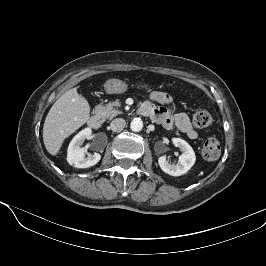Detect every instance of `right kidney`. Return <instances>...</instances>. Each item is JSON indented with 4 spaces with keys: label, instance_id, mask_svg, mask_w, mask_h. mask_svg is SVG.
<instances>
[{
    "label": "right kidney",
    "instance_id": "obj_1",
    "mask_svg": "<svg viewBox=\"0 0 266 266\" xmlns=\"http://www.w3.org/2000/svg\"><path fill=\"white\" fill-rule=\"evenodd\" d=\"M92 133L90 128L80 131L70 142L67 150V161L76 168H88L96 165L101 155L99 153L89 154L85 157L84 149L81 147L84 140L89 138Z\"/></svg>",
    "mask_w": 266,
    "mask_h": 266
}]
</instances>
